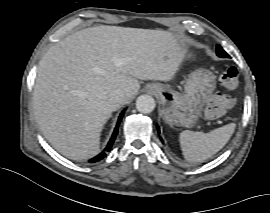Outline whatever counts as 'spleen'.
<instances>
[{"label": "spleen", "mask_w": 270, "mask_h": 213, "mask_svg": "<svg viewBox=\"0 0 270 213\" xmlns=\"http://www.w3.org/2000/svg\"><path fill=\"white\" fill-rule=\"evenodd\" d=\"M235 127V123H230L209 133L181 132L179 141L184 158L189 162H203L211 158L227 144Z\"/></svg>", "instance_id": "3e777b00"}]
</instances>
